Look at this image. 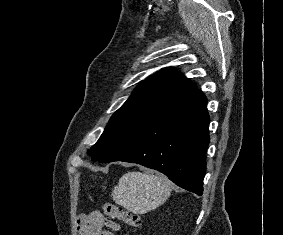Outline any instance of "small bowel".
<instances>
[{
  "label": "small bowel",
  "mask_w": 283,
  "mask_h": 235,
  "mask_svg": "<svg viewBox=\"0 0 283 235\" xmlns=\"http://www.w3.org/2000/svg\"><path fill=\"white\" fill-rule=\"evenodd\" d=\"M78 226L81 235H114L120 230V224L105 218L100 212H92L89 215H81L78 218Z\"/></svg>",
  "instance_id": "1"
}]
</instances>
